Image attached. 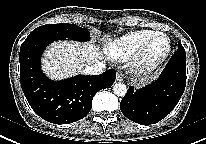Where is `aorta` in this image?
Returning a JSON list of instances; mask_svg holds the SVG:
<instances>
[{
  "instance_id": "1",
  "label": "aorta",
  "mask_w": 206,
  "mask_h": 144,
  "mask_svg": "<svg viewBox=\"0 0 206 144\" xmlns=\"http://www.w3.org/2000/svg\"><path fill=\"white\" fill-rule=\"evenodd\" d=\"M113 92L115 95H117L119 97H123L127 93V87L124 83H116L113 86Z\"/></svg>"
}]
</instances>
